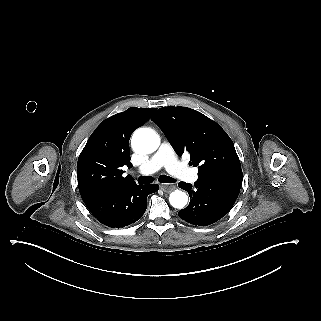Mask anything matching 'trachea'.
Wrapping results in <instances>:
<instances>
[{
	"mask_svg": "<svg viewBox=\"0 0 321 321\" xmlns=\"http://www.w3.org/2000/svg\"><path fill=\"white\" fill-rule=\"evenodd\" d=\"M153 178L149 177V176H140L137 179V182L139 184H150L153 182ZM177 181V179H174L172 177L166 176V175H161L159 177V182L161 183H175Z\"/></svg>",
	"mask_w": 321,
	"mask_h": 321,
	"instance_id": "trachea-1",
	"label": "trachea"
}]
</instances>
